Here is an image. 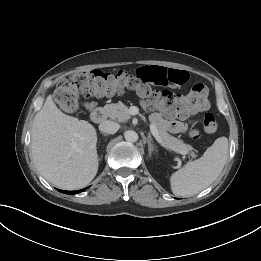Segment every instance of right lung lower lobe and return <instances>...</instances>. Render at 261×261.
Instances as JSON below:
<instances>
[{
    "instance_id": "1",
    "label": "right lung lower lobe",
    "mask_w": 261,
    "mask_h": 261,
    "mask_svg": "<svg viewBox=\"0 0 261 261\" xmlns=\"http://www.w3.org/2000/svg\"><path fill=\"white\" fill-rule=\"evenodd\" d=\"M87 188H84V189H81V190H77V191H63V190H59V189H57L58 191H60V192H62V193H66V194H71V195H73V194H76V193H80V192H82V191H84V190H86Z\"/></svg>"
}]
</instances>
